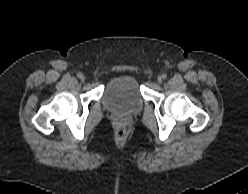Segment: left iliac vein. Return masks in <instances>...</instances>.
<instances>
[{
	"label": "left iliac vein",
	"instance_id": "obj_1",
	"mask_svg": "<svg viewBox=\"0 0 248 194\" xmlns=\"http://www.w3.org/2000/svg\"><path fill=\"white\" fill-rule=\"evenodd\" d=\"M162 80H163V79H162V77H161V76H160V77H158V82H159V83H161V82H162Z\"/></svg>",
	"mask_w": 248,
	"mask_h": 194
}]
</instances>
